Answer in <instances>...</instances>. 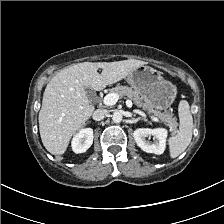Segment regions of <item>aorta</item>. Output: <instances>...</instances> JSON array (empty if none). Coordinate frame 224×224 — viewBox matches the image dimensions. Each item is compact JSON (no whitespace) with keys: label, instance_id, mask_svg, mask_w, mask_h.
Returning <instances> with one entry per match:
<instances>
[{"label":"aorta","instance_id":"aorta-1","mask_svg":"<svg viewBox=\"0 0 224 224\" xmlns=\"http://www.w3.org/2000/svg\"><path fill=\"white\" fill-rule=\"evenodd\" d=\"M114 123H120L122 121V114L119 111H115L112 115Z\"/></svg>","mask_w":224,"mask_h":224}]
</instances>
